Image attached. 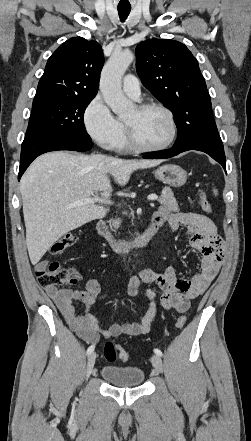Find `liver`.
<instances>
[{"label":"liver","instance_id":"1","mask_svg":"<svg viewBox=\"0 0 251 441\" xmlns=\"http://www.w3.org/2000/svg\"><path fill=\"white\" fill-rule=\"evenodd\" d=\"M162 160H125L101 154L82 155L63 151L39 156L20 181L26 245L33 265L64 234L98 218L107 210L100 204L74 205L100 192L109 202V175L124 186L138 169L159 165Z\"/></svg>","mask_w":251,"mask_h":441}]
</instances>
